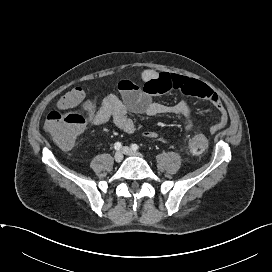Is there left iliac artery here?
Returning <instances> with one entry per match:
<instances>
[{"label": "left iliac artery", "mask_w": 272, "mask_h": 272, "mask_svg": "<svg viewBox=\"0 0 272 272\" xmlns=\"http://www.w3.org/2000/svg\"><path fill=\"white\" fill-rule=\"evenodd\" d=\"M131 147L135 151L138 150V148H139V146L137 144H132Z\"/></svg>", "instance_id": "left-iliac-artery-1"}]
</instances>
